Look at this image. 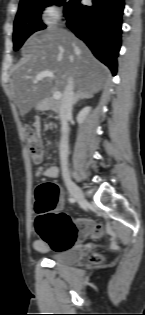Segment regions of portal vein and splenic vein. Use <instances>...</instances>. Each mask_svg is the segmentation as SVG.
Here are the masks:
<instances>
[{
    "mask_svg": "<svg viewBox=\"0 0 145 315\" xmlns=\"http://www.w3.org/2000/svg\"><path fill=\"white\" fill-rule=\"evenodd\" d=\"M46 77L54 78L55 76H54V73L51 72V71H42V72H40L39 74L36 75L34 81L38 82V81H40V80H42V79H44ZM61 96H62V94H61L60 91H56V92L53 93V98L56 99V100L60 99Z\"/></svg>",
    "mask_w": 145,
    "mask_h": 315,
    "instance_id": "18ae733b",
    "label": "portal vein and splenic vein"
}]
</instances>
